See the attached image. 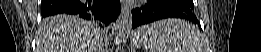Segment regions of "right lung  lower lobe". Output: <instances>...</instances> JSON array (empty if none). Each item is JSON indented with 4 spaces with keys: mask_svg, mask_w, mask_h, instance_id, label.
Returning <instances> with one entry per match:
<instances>
[{
    "mask_svg": "<svg viewBox=\"0 0 261 52\" xmlns=\"http://www.w3.org/2000/svg\"><path fill=\"white\" fill-rule=\"evenodd\" d=\"M55 14H72L91 18L102 27L117 19L120 14L119 0H42V17Z\"/></svg>",
    "mask_w": 261,
    "mask_h": 52,
    "instance_id": "obj_1",
    "label": "right lung lower lobe"
}]
</instances>
